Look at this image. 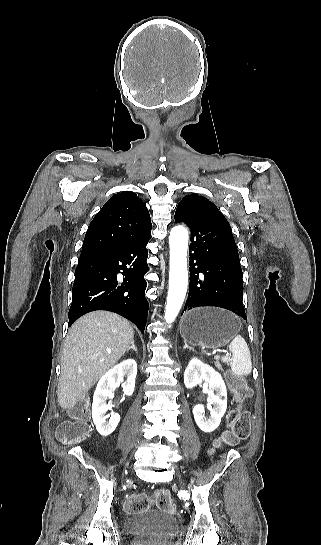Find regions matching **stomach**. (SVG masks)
Listing matches in <instances>:
<instances>
[{
  "instance_id": "stomach-1",
  "label": "stomach",
  "mask_w": 321,
  "mask_h": 545,
  "mask_svg": "<svg viewBox=\"0 0 321 545\" xmlns=\"http://www.w3.org/2000/svg\"><path fill=\"white\" fill-rule=\"evenodd\" d=\"M240 329L241 321L236 315L217 307L191 309L180 323V335L185 343L208 349L225 347Z\"/></svg>"
}]
</instances>
